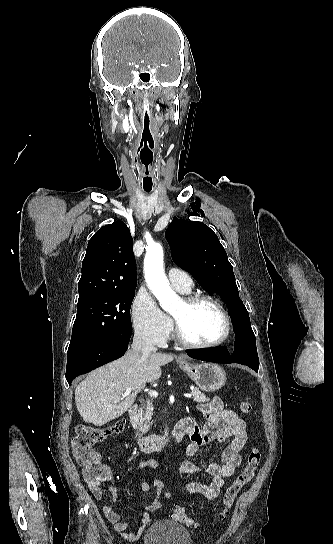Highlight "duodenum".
<instances>
[{"mask_svg": "<svg viewBox=\"0 0 333 544\" xmlns=\"http://www.w3.org/2000/svg\"><path fill=\"white\" fill-rule=\"evenodd\" d=\"M137 411L138 406L136 404L132 405L129 408L128 417L131 422H135ZM185 434L186 428L183 420H181L174 426L171 434L168 437L158 435H142L137 432L135 435V439L141 452L152 453L162 451L168 446L178 444Z\"/></svg>", "mask_w": 333, "mask_h": 544, "instance_id": "410a0bca", "label": "duodenum"}]
</instances>
